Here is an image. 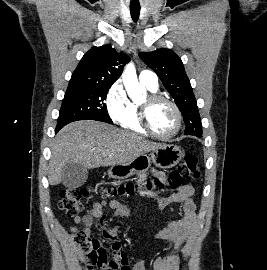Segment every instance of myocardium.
Returning a JSON list of instances; mask_svg holds the SVG:
<instances>
[{
    "mask_svg": "<svg viewBox=\"0 0 267 270\" xmlns=\"http://www.w3.org/2000/svg\"><path fill=\"white\" fill-rule=\"evenodd\" d=\"M158 102H165L169 104L175 112L177 124H176V128L174 132L171 133L170 135L159 134L158 132L154 130V128L152 127L150 123V119H149L150 108ZM139 118H140V123L142 127L145 129V131L148 134L163 141L173 140L175 137L178 136L182 128V114L179 107L174 101H172L171 99L159 93L149 94L146 100L139 105Z\"/></svg>",
    "mask_w": 267,
    "mask_h": 270,
    "instance_id": "f54148a6",
    "label": "myocardium"
}]
</instances>
